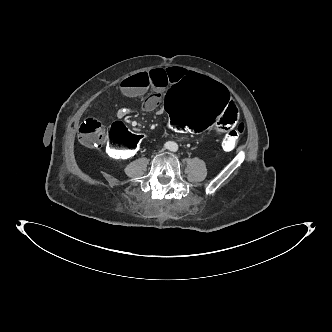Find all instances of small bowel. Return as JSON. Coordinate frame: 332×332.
Returning <instances> with one entry per match:
<instances>
[{"label": "small bowel", "instance_id": "obj_1", "mask_svg": "<svg viewBox=\"0 0 332 332\" xmlns=\"http://www.w3.org/2000/svg\"><path fill=\"white\" fill-rule=\"evenodd\" d=\"M186 75H188V70L181 67L142 71L123 79L120 83V92L125 97L131 98L151 91L152 95L143 102V109L148 112L158 110L161 95ZM126 111L127 109L118 110V118H124L127 114ZM170 126L176 130L172 125Z\"/></svg>", "mask_w": 332, "mask_h": 332}]
</instances>
